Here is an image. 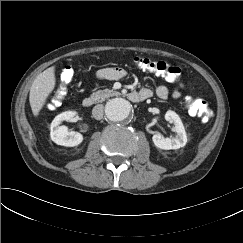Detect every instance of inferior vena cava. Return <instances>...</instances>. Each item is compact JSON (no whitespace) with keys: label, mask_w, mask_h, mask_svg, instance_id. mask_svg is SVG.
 Listing matches in <instances>:
<instances>
[{"label":"inferior vena cava","mask_w":243,"mask_h":243,"mask_svg":"<svg viewBox=\"0 0 243 243\" xmlns=\"http://www.w3.org/2000/svg\"><path fill=\"white\" fill-rule=\"evenodd\" d=\"M103 105L98 104L96 106H94L93 110H92V115L95 119L100 120L103 118Z\"/></svg>","instance_id":"inferior-vena-cava-1"}]
</instances>
